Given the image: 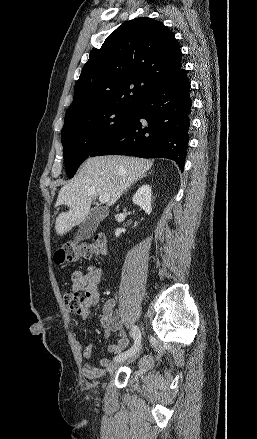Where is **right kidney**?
Listing matches in <instances>:
<instances>
[{"label":"right kidney","instance_id":"right-kidney-1","mask_svg":"<svg viewBox=\"0 0 257 439\" xmlns=\"http://www.w3.org/2000/svg\"><path fill=\"white\" fill-rule=\"evenodd\" d=\"M151 196L152 190L150 185H142L133 196V203L141 207L146 214H150L152 212L151 206ZM122 232H125V229L118 228L115 231L116 237H118Z\"/></svg>","mask_w":257,"mask_h":439}]
</instances>
